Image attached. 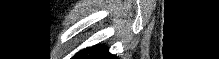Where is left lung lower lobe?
<instances>
[{"mask_svg": "<svg viewBox=\"0 0 219 59\" xmlns=\"http://www.w3.org/2000/svg\"><path fill=\"white\" fill-rule=\"evenodd\" d=\"M72 59H117L102 45H95L79 51Z\"/></svg>", "mask_w": 219, "mask_h": 59, "instance_id": "obj_1", "label": "left lung lower lobe"}]
</instances>
